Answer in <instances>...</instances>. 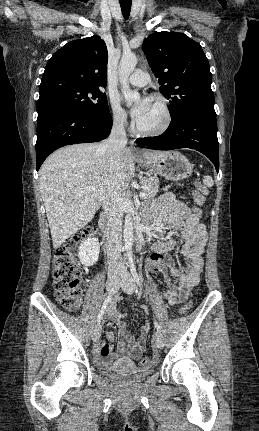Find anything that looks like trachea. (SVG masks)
Masks as SVG:
<instances>
[{"instance_id": "obj_1", "label": "trachea", "mask_w": 259, "mask_h": 431, "mask_svg": "<svg viewBox=\"0 0 259 431\" xmlns=\"http://www.w3.org/2000/svg\"><path fill=\"white\" fill-rule=\"evenodd\" d=\"M131 4H132V0H120L122 14L125 19H128L130 15Z\"/></svg>"}]
</instances>
